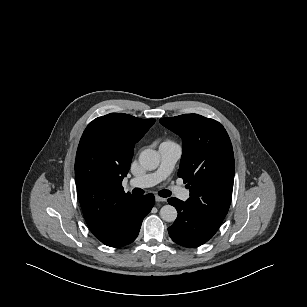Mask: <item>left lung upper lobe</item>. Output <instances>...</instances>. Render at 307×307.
Returning a JSON list of instances; mask_svg holds the SVG:
<instances>
[{"mask_svg": "<svg viewBox=\"0 0 307 307\" xmlns=\"http://www.w3.org/2000/svg\"><path fill=\"white\" fill-rule=\"evenodd\" d=\"M159 121L182 138L178 176L190 190L185 204L199 217L220 227L230 207L235 171L226 130L218 121L198 114Z\"/></svg>", "mask_w": 307, "mask_h": 307, "instance_id": "left-lung-upper-lobe-1", "label": "left lung upper lobe"}]
</instances>
